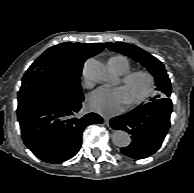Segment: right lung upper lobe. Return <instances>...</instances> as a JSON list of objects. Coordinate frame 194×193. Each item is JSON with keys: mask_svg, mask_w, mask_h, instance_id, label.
<instances>
[{"mask_svg": "<svg viewBox=\"0 0 194 193\" xmlns=\"http://www.w3.org/2000/svg\"><path fill=\"white\" fill-rule=\"evenodd\" d=\"M103 43H61L47 49L26 71L54 75L64 72H81L88 57L99 54Z\"/></svg>", "mask_w": 194, "mask_h": 193, "instance_id": "obj_1", "label": "right lung upper lobe"}]
</instances>
